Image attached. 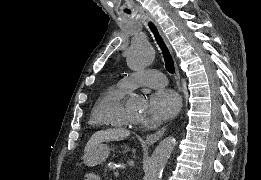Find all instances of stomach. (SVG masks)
I'll return each instance as SVG.
<instances>
[{
  "label": "stomach",
  "instance_id": "stomach-1",
  "mask_svg": "<svg viewBox=\"0 0 261 180\" xmlns=\"http://www.w3.org/2000/svg\"><path fill=\"white\" fill-rule=\"evenodd\" d=\"M110 154V148L103 143L97 144L92 147L84 155V164L93 167L106 161Z\"/></svg>",
  "mask_w": 261,
  "mask_h": 180
}]
</instances>
